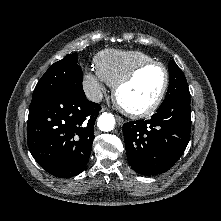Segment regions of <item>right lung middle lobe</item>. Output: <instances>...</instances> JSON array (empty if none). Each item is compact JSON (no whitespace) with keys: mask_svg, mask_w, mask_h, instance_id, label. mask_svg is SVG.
Listing matches in <instances>:
<instances>
[{"mask_svg":"<svg viewBox=\"0 0 221 221\" xmlns=\"http://www.w3.org/2000/svg\"><path fill=\"white\" fill-rule=\"evenodd\" d=\"M77 63V55L69 54L50 66L34 89L30 107L62 90L83 94L82 71Z\"/></svg>","mask_w":221,"mask_h":221,"instance_id":"obj_1","label":"right lung middle lobe"}]
</instances>
